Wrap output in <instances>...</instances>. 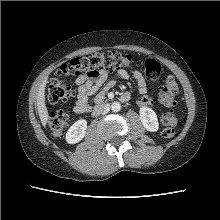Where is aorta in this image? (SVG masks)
<instances>
[{
    "mask_svg": "<svg viewBox=\"0 0 220 220\" xmlns=\"http://www.w3.org/2000/svg\"><path fill=\"white\" fill-rule=\"evenodd\" d=\"M111 110L113 112H119L121 110V104L119 102H113L111 105Z\"/></svg>",
    "mask_w": 220,
    "mask_h": 220,
    "instance_id": "obj_1",
    "label": "aorta"
}]
</instances>
